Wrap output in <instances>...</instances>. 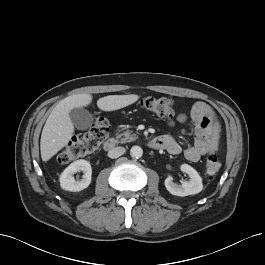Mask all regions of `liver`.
Masks as SVG:
<instances>
[{
  "label": "liver",
  "mask_w": 265,
  "mask_h": 265,
  "mask_svg": "<svg viewBox=\"0 0 265 265\" xmlns=\"http://www.w3.org/2000/svg\"><path fill=\"white\" fill-rule=\"evenodd\" d=\"M139 95H109L98 99L97 106L103 111H114L135 103ZM92 102L90 94H75L64 98L53 109L43 127L40 150L43 161L50 160L65 147L74 133V125L69 116L73 108H82Z\"/></svg>",
  "instance_id": "6515ba94"
}]
</instances>
